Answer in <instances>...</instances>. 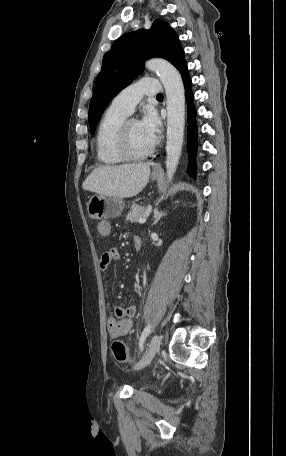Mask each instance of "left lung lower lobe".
Segmentation results:
<instances>
[{"label": "left lung lower lobe", "instance_id": "0a47b994", "mask_svg": "<svg viewBox=\"0 0 286 456\" xmlns=\"http://www.w3.org/2000/svg\"><path fill=\"white\" fill-rule=\"evenodd\" d=\"M185 87V95L187 101V116H188V152L190 157L189 168L187 173L192 177H195L196 174V164H195V153L197 150V124H196V110L194 107V97L191 91V79L189 77L187 63L184 62L178 68Z\"/></svg>", "mask_w": 286, "mask_h": 456}]
</instances>
